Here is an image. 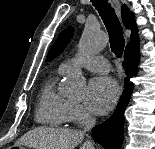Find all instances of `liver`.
Here are the masks:
<instances>
[{
	"instance_id": "6515ba94",
	"label": "liver",
	"mask_w": 155,
	"mask_h": 149,
	"mask_svg": "<svg viewBox=\"0 0 155 149\" xmlns=\"http://www.w3.org/2000/svg\"><path fill=\"white\" fill-rule=\"evenodd\" d=\"M83 140L84 133L81 131L36 127L18 139L15 146H27L34 149H74ZM80 149H94V146L86 141Z\"/></svg>"
}]
</instances>
